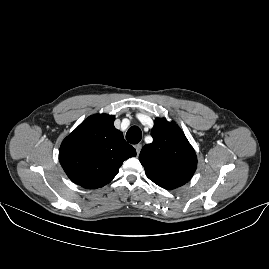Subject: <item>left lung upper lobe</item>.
Instances as JSON below:
<instances>
[{
	"instance_id": "left-lung-upper-lobe-1",
	"label": "left lung upper lobe",
	"mask_w": 269,
	"mask_h": 269,
	"mask_svg": "<svg viewBox=\"0 0 269 269\" xmlns=\"http://www.w3.org/2000/svg\"><path fill=\"white\" fill-rule=\"evenodd\" d=\"M151 135L153 142L139 155L147 177L167 190L184 185L197 167L196 154L187 138L177 124L164 118L154 121Z\"/></svg>"
}]
</instances>
